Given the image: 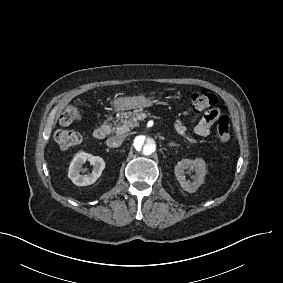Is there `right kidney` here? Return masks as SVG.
Here are the masks:
<instances>
[{
  "mask_svg": "<svg viewBox=\"0 0 283 283\" xmlns=\"http://www.w3.org/2000/svg\"><path fill=\"white\" fill-rule=\"evenodd\" d=\"M86 161H89L90 165L93 166V169L91 173L82 175L81 173L86 171L82 168ZM105 166V161L101 157L87 153H80L70 164L68 178L78 186L91 185L94 184L101 176Z\"/></svg>",
  "mask_w": 283,
  "mask_h": 283,
  "instance_id": "1",
  "label": "right kidney"
}]
</instances>
